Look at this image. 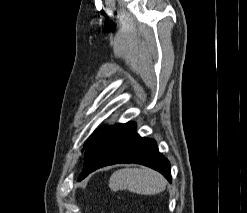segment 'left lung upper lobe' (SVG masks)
Returning <instances> with one entry per match:
<instances>
[{
  "label": "left lung upper lobe",
  "instance_id": "obj_1",
  "mask_svg": "<svg viewBox=\"0 0 247 213\" xmlns=\"http://www.w3.org/2000/svg\"><path fill=\"white\" fill-rule=\"evenodd\" d=\"M110 127H101L97 129L87 140V142L84 144V149L87 150L89 146L99 137L101 136L104 132H106ZM79 181V180H78Z\"/></svg>",
  "mask_w": 247,
  "mask_h": 213
}]
</instances>
